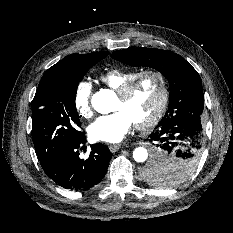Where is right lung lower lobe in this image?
Here are the masks:
<instances>
[{
  "mask_svg": "<svg viewBox=\"0 0 233 233\" xmlns=\"http://www.w3.org/2000/svg\"><path fill=\"white\" fill-rule=\"evenodd\" d=\"M86 143L83 133L70 142L54 160L41 163L45 173L59 186L85 191L98 184L106 174L112 153L101 143L91 146L86 160L79 157V149Z\"/></svg>",
  "mask_w": 233,
  "mask_h": 233,
  "instance_id": "1",
  "label": "right lung lower lobe"
}]
</instances>
